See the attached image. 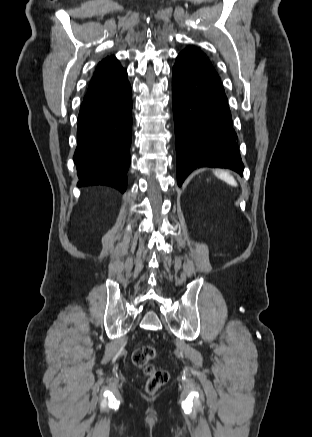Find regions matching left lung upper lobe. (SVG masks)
<instances>
[{
	"label": "left lung upper lobe",
	"mask_w": 312,
	"mask_h": 437,
	"mask_svg": "<svg viewBox=\"0 0 312 437\" xmlns=\"http://www.w3.org/2000/svg\"><path fill=\"white\" fill-rule=\"evenodd\" d=\"M184 51H190V52H193V53H195V54H197V55H199V56H202V57H204V58H206V59L208 60V58L206 57V55H205L203 52L198 51L196 48L189 47V48L185 49Z\"/></svg>",
	"instance_id": "obj_1"
}]
</instances>
